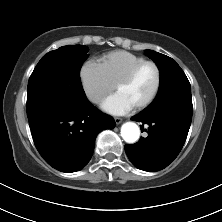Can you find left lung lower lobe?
I'll return each instance as SVG.
<instances>
[{"mask_svg": "<svg viewBox=\"0 0 222 222\" xmlns=\"http://www.w3.org/2000/svg\"><path fill=\"white\" fill-rule=\"evenodd\" d=\"M192 99L185 96H168L153 102L133 120L147 124L146 138L133 145H125V151L137 168L159 171L167 167L181 151L192 120ZM143 130V125L140 126Z\"/></svg>", "mask_w": 222, "mask_h": 222, "instance_id": "obj_1", "label": "left lung lower lobe"}]
</instances>
